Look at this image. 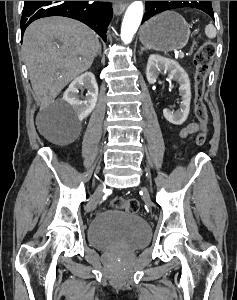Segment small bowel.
Returning a JSON list of instances; mask_svg holds the SVG:
<instances>
[{
    "label": "small bowel",
    "mask_w": 237,
    "mask_h": 300,
    "mask_svg": "<svg viewBox=\"0 0 237 300\" xmlns=\"http://www.w3.org/2000/svg\"><path fill=\"white\" fill-rule=\"evenodd\" d=\"M196 131H198V125L196 123H190L181 129L179 135L181 138H185Z\"/></svg>",
    "instance_id": "small-bowel-1"
}]
</instances>
